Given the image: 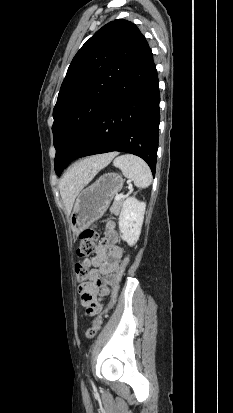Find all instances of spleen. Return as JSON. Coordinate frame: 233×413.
Wrapping results in <instances>:
<instances>
[{"label": "spleen", "instance_id": "spleen-1", "mask_svg": "<svg viewBox=\"0 0 233 413\" xmlns=\"http://www.w3.org/2000/svg\"><path fill=\"white\" fill-rule=\"evenodd\" d=\"M115 167L122 171V174L132 180L138 188H147L152 182V173L147 163L141 158L125 154L118 156L113 161Z\"/></svg>", "mask_w": 233, "mask_h": 413}]
</instances>
